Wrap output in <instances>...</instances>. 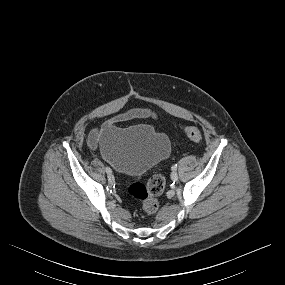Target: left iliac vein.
I'll return each instance as SVG.
<instances>
[{"label": "left iliac vein", "mask_w": 285, "mask_h": 285, "mask_svg": "<svg viewBox=\"0 0 285 285\" xmlns=\"http://www.w3.org/2000/svg\"><path fill=\"white\" fill-rule=\"evenodd\" d=\"M171 179H172L173 181H177V180H178V174H177L176 171H173V172L171 173Z\"/></svg>", "instance_id": "4c4485c4"}]
</instances>
